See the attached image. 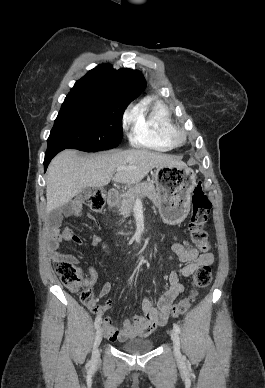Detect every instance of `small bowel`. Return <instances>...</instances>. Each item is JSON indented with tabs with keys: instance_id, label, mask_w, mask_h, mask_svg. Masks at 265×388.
<instances>
[{
	"instance_id": "obj_1",
	"label": "small bowel",
	"mask_w": 265,
	"mask_h": 388,
	"mask_svg": "<svg viewBox=\"0 0 265 388\" xmlns=\"http://www.w3.org/2000/svg\"><path fill=\"white\" fill-rule=\"evenodd\" d=\"M83 206L81 202L75 201L70 206L66 207L61 213L54 214L50 219V227L53 233V239L51 243V256L54 261L66 260L73 264H78L79 259L76 256L64 254L59 252V245L62 241H73L77 244H83L81 238L73 233L70 229H65L62 233L60 232V222L62 217L69 216H82L84 215ZM86 217L90 220H94L91 214H86ZM91 246H100L108 259H111L109 246L106 240L101 236H93L88 242ZM172 250L178 260L185 265L174 270L169 274L168 281L169 287L159 297L157 305L148 298H143L141 301L142 315L134 316L132 319L124 321L123 325L118 328L112 323L110 317L103 319L104 333L105 336L111 341H123L131 337H143L152 333L158 327L164 326L168 319L172 306L176 298L183 292V285L181 281L191 276L200 266L211 265L214 261L212 253H201L196 248H189L181 243H175L172 246ZM88 277L84 280V284L87 287H92L98 280V273L94 266L89 265ZM112 289L110 282L105 283L99 293V298L106 297ZM98 299L92 301L89 304V308L92 312L101 315L104 314L112 307V300H107L103 305H97ZM97 315V316H98Z\"/></svg>"
}]
</instances>
